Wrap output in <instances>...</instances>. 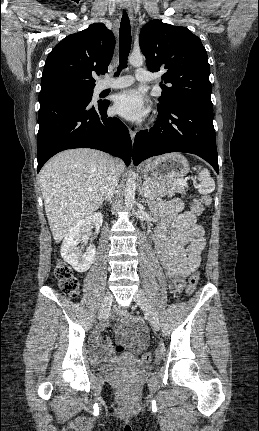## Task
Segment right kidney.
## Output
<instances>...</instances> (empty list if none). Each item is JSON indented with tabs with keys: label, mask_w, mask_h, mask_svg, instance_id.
Returning <instances> with one entry per match:
<instances>
[{
	"label": "right kidney",
	"mask_w": 259,
	"mask_h": 431,
	"mask_svg": "<svg viewBox=\"0 0 259 431\" xmlns=\"http://www.w3.org/2000/svg\"><path fill=\"white\" fill-rule=\"evenodd\" d=\"M102 222L103 216L101 213L97 212L85 219H81L66 234L61 246V256L77 272L87 271L92 265L96 254V249L93 244L87 247L85 253H82V250L78 246L81 242H86L84 236L86 228L92 223H94L97 228L102 225Z\"/></svg>",
	"instance_id": "right-kidney-1"
}]
</instances>
